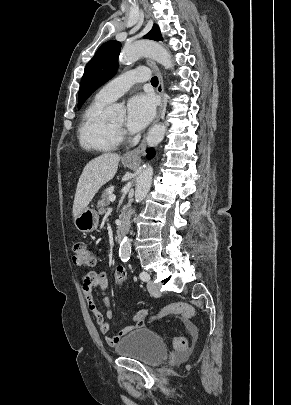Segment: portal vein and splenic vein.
<instances>
[{
    "mask_svg": "<svg viewBox=\"0 0 291 405\" xmlns=\"http://www.w3.org/2000/svg\"><path fill=\"white\" fill-rule=\"evenodd\" d=\"M115 199H116V196H115L114 194H111V195L109 196V200H110L111 202H114Z\"/></svg>",
    "mask_w": 291,
    "mask_h": 405,
    "instance_id": "1",
    "label": "portal vein and splenic vein"
}]
</instances>
